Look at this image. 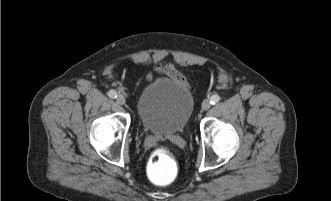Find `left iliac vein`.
Segmentation results:
<instances>
[{"label": "left iliac vein", "instance_id": "1", "mask_svg": "<svg viewBox=\"0 0 331 201\" xmlns=\"http://www.w3.org/2000/svg\"><path fill=\"white\" fill-rule=\"evenodd\" d=\"M211 107V103L209 100H204L202 103V110L206 111Z\"/></svg>", "mask_w": 331, "mask_h": 201}]
</instances>
